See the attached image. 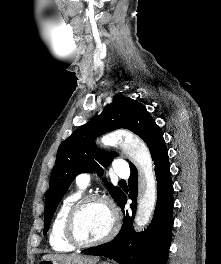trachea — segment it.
Segmentation results:
<instances>
[{
	"label": "trachea",
	"instance_id": "1",
	"mask_svg": "<svg viewBox=\"0 0 221 264\" xmlns=\"http://www.w3.org/2000/svg\"><path fill=\"white\" fill-rule=\"evenodd\" d=\"M119 183H125V180H120Z\"/></svg>",
	"mask_w": 221,
	"mask_h": 264
}]
</instances>
